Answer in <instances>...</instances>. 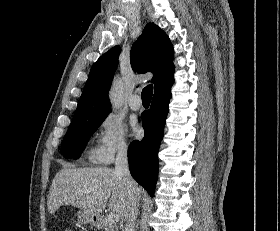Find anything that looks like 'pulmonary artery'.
Segmentation results:
<instances>
[{"mask_svg": "<svg viewBox=\"0 0 280 231\" xmlns=\"http://www.w3.org/2000/svg\"><path fill=\"white\" fill-rule=\"evenodd\" d=\"M138 95L134 94L129 99V106L132 110H139L142 106L141 102L137 101Z\"/></svg>", "mask_w": 280, "mask_h": 231, "instance_id": "1", "label": "pulmonary artery"}]
</instances>
